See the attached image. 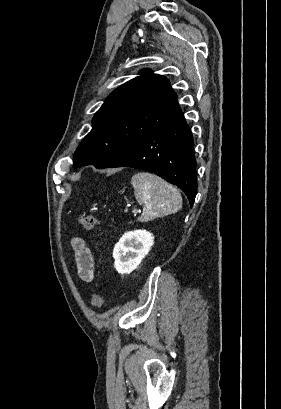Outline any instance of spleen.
<instances>
[{
	"instance_id": "obj_1",
	"label": "spleen",
	"mask_w": 281,
	"mask_h": 409,
	"mask_svg": "<svg viewBox=\"0 0 281 409\" xmlns=\"http://www.w3.org/2000/svg\"><path fill=\"white\" fill-rule=\"evenodd\" d=\"M135 198L143 205L141 223L153 221L158 217L173 215L182 209V196L173 184L150 172H137L131 178Z\"/></svg>"
}]
</instances>
